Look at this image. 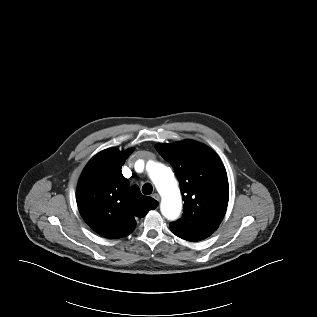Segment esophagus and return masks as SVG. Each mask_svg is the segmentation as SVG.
Wrapping results in <instances>:
<instances>
[{"mask_svg": "<svg viewBox=\"0 0 317 317\" xmlns=\"http://www.w3.org/2000/svg\"><path fill=\"white\" fill-rule=\"evenodd\" d=\"M152 197L156 200V201H160V196L159 194L155 193L152 195Z\"/></svg>", "mask_w": 317, "mask_h": 317, "instance_id": "esophagus-1", "label": "esophagus"}]
</instances>
